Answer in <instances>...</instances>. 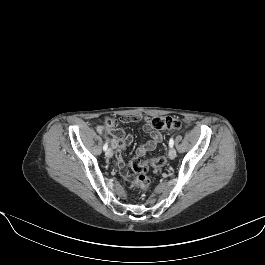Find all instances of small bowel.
Here are the masks:
<instances>
[{"instance_id":"obj_1","label":"small bowel","mask_w":265,"mask_h":265,"mask_svg":"<svg viewBox=\"0 0 265 265\" xmlns=\"http://www.w3.org/2000/svg\"><path fill=\"white\" fill-rule=\"evenodd\" d=\"M141 119V116H131L124 117L121 121L123 123H130L137 122ZM112 121L113 122L110 126L107 123L106 126H98V131L103 132L105 129H107L112 134V145L116 151V161L119 168V172L124 179H128L129 174L124 164L123 154L126 147L131 144L133 137L132 135L127 134L122 129L118 128V123L116 121ZM144 132L148 135V138L136 149V154L138 156H144L148 152L154 150L157 144L161 142L163 138L162 134L154 130L149 124H146L144 126Z\"/></svg>"}]
</instances>
